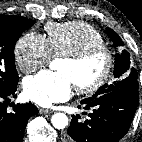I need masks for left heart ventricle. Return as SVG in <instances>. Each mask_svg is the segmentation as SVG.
I'll use <instances>...</instances> for the list:
<instances>
[{
	"instance_id": "b2bd125f",
	"label": "left heart ventricle",
	"mask_w": 142,
	"mask_h": 142,
	"mask_svg": "<svg viewBox=\"0 0 142 142\" xmlns=\"http://www.w3.org/2000/svg\"><path fill=\"white\" fill-rule=\"evenodd\" d=\"M103 68L102 56H95L80 65L63 59L58 65V70L69 75L74 85L91 83L99 77Z\"/></svg>"
}]
</instances>
